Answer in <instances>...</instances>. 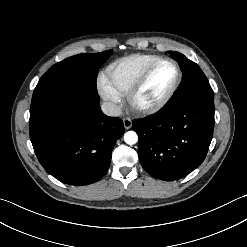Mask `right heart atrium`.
Returning a JSON list of instances; mask_svg holds the SVG:
<instances>
[{
    "label": "right heart atrium",
    "instance_id": "right-heart-atrium-1",
    "mask_svg": "<svg viewBox=\"0 0 247 247\" xmlns=\"http://www.w3.org/2000/svg\"><path fill=\"white\" fill-rule=\"evenodd\" d=\"M97 89L103 99L117 103L120 100V95L109 82L104 74H99L97 77Z\"/></svg>",
    "mask_w": 247,
    "mask_h": 247
}]
</instances>
